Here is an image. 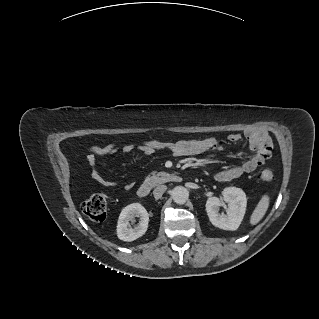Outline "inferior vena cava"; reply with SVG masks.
<instances>
[{
  "label": "inferior vena cava",
  "instance_id": "obj_1",
  "mask_svg": "<svg viewBox=\"0 0 319 319\" xmlns=\"http://www.w3.org/2000/svg\"><path fill=\"white\" fill-rule=\"evenodd\" d=\"M167 190V186L166 185H159L157 186L154 191H153V195L155 197V199H159L161 198V196L164 194V192Z\"/></svg>",
  "mask_w": 319,
  "mask_h": 319
}]
</instances>
